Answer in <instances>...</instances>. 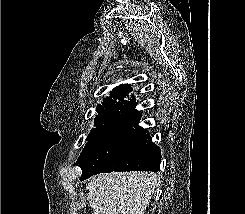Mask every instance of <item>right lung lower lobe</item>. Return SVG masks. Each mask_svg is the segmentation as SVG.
<instances>
[{
	"mask_svg": "<svg viewBox=\"0 0 245 214\" xmlns=\"http://www.w3.org/2000/svg\"><path fill=\"white\" fill-rule=\"evenodd\" d=\"M138 122L131 129H126L128 136L117 147L119 166L108 172L159 170L161 150L151 141L148 131L140 127ZM90 176L92 175H86L81 180L87 179Z\"/></svg>",
	"mask_w": 245,
	"mask_h": 214,
	"instance_id": "right-lung-lower-lobe-1",
	"label": "right lung lower lobe"
}]
</instances>
